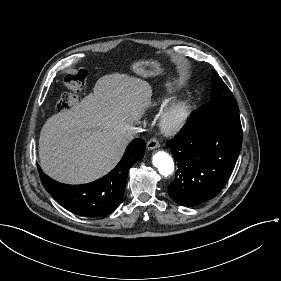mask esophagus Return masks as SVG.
<instances>
[{
    "instance_id": "34e87169",
    "label": "esophagus",
    "mask_w": 281,
    "mask_h": 281,
    "mask_svg": "<svg viewBox=\"0 0 281 281\" xmlns=\"http://www.w3.org/2000/svg\"><path fill=\"white\" fill-rule=\"evenodd\" d=\"M159 143H158V141L156 140V139H151L149 142H148V144H147V148L149 149V150H153V149H157V148H159Z\"/></svg>"
}]
</instances>
